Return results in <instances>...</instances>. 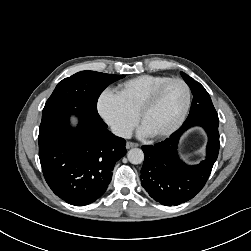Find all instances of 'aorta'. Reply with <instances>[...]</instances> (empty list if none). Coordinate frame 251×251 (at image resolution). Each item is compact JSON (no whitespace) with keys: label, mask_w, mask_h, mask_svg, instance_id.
<instances>
[{"label":"aorta","mask_w":251,"mask_h":251,"mask_svg":"<svg viewBox=\"0 0 251 251\" xmlns=\"http://www.w3.org/2000/svg\"><path fill=\"white\" fill-rule=\"evenodd\" d=\"M127 157L130 163L140 164L144 160V153L139 148H132L128 151Z\"/></svg>","instance_id":"obj_1"}]
</instances>
